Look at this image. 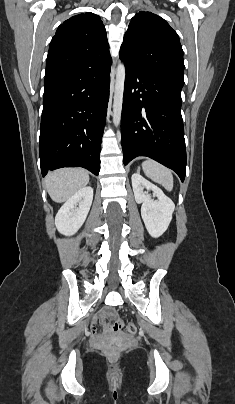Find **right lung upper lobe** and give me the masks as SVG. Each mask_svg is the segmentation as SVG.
I'll return each mask as SVG.
<instances>
[{
    "label": "right lung upper lobe",
    "instance_id": "cb5924a9",
    "mask_svg": "<svg viewBox=\"0 0 235 404\" xmlns=\"http://www.w3.org/2000/svg\"><path fill=\"white\" fill-rule=\"evenodd\" d=\"M105 27L98 15H75L61 24L52 38L45 77L110 63Z\"/></svg>",
    "mask_w": 235,
    "mask_h": 404
}]
</instances>
